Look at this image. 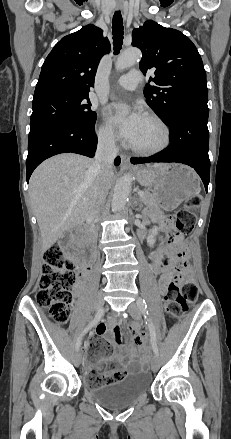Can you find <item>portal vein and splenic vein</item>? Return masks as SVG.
<instances>
[{
  "label": "portal vein and splenic vein",
  "mask_w": 231,
  "mask_h": 439,
  "mask_svg": "<svg viewBox=\"0 0 231 439\" xmlns=\"http://www.w3.org/2000/svg\"><path fill=\"white\" fill-rule=\"evenodd\" d=\"M138 195H139V196H143L144 193H143L142 191H139V192H138Z\"/></svg>",
  "instance_id": "portal-vein-and-splenic-vein-1"
}]
</instances>
